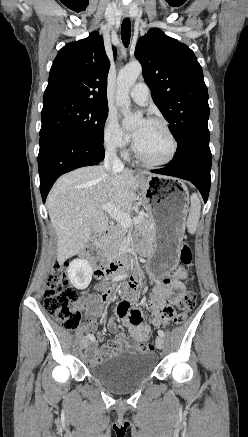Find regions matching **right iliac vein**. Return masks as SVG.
<instances>
[{"instance_id":"63e3f726","label":"right iliac vein","mask_w":248,"mask_h":437,"mask_svg":"<svg viewBox=\"0 0 248 437\" xmlns=\"http://www.w3.org/2000/svg\"><path fill=\"white\" fill-rule=\"evenodd\" d=\"M88 344H89V340L87 338H82L80 342L81 348L85 349L88 346Z\"/></svg>"}]
</instances>
